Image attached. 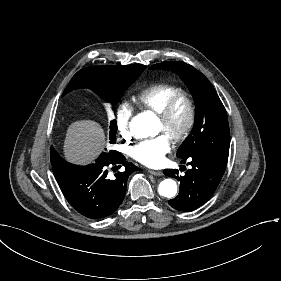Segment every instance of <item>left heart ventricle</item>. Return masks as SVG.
<instances>
[{
  "instance_id": "left-heart-ventricle-1",
  "label": "left heart ventricle",
  "mask_w": 281,
  "mask_h": 281,
  "mask_svg": "<svg viewBox=\"0 0 281 281\" xmlns=\"http://www.w3.org/2000/svg\"><path fill=\"white\" fill-rule=\"evenodd\" d=\"M187 111L184 103L180 102L174 108L169 120L168 128L172 132L179 131L186 121ZM156 132H164L163 124L156 118Z\"/></svg>"
}]
</instances>
